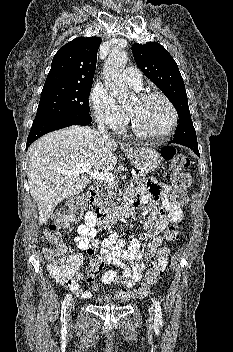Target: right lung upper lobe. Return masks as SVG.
I'll return each instance as SVG.
<instances>
[{"instance_id": "1", "label": "right lung upper lobe", "mask_w": 233, "mask_h": 352, "mask_svg": "<svg viewBox=\"0 0 233 352\" xmlns=\"http://www.w3.org/2000/svg\"><path fill=\"white\" fill-rule=\"evenodd\" d=\"M101 41L78 37L61 47L53 57L44 87L92 85Z\"/></svg>"}]
</instances>
